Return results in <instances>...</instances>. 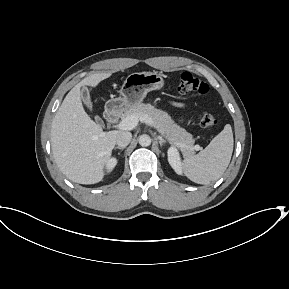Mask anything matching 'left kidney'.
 <instances>
[{
    "instance_id": "1",
    "label": "left kidney",
    "mask_w": 289,
    "mask_h": 289,
    "mask_svg": "<svg viewBox=\"0 0 289 289\" xmlns=\"http://www.w3.org/2000/svg\"><path fill=\"white\" fill-rule=\"evenodd\" d=\"M168 162L171 165V167L175 170L177 174L182 173V165L181 160L179 156V152L176 147L171 146L168 149Z\"/></svg>"
}]
</instances>
